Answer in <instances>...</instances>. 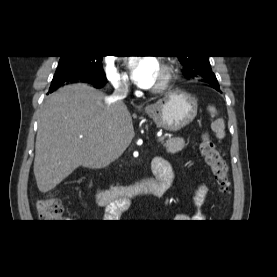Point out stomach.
I'll list each match as a JSON object with an SVG mask.
<instances>
[{
    "instance_id": "stomach-1",
    "label": "stomach",
    "mask_w": 277,
    "mask_h": 277,
    "mask_svg": "<svg viewBox=\"0 0 277 277\" xmlns=\"http://www.w3.org/2000/svg\"><path fill=\"white\" fill-rule=\"evenodd\" d=\"M197 109V100L193 96L176 90L167 93L145 111L159 128L176 132L194 120Z\"/></svg>"
}]
</instances>
